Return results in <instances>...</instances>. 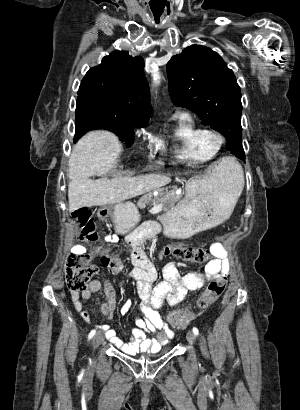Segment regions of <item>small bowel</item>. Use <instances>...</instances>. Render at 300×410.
I'll return each instance as SVG.
<instances>
[{
    "instance_id": "1",
    "label": "small bowel",
    "mask_w": 300,
    "mask_h": 410,
    "mask_svg": "<svg viewBox=\"0 0 300 410\" xmlns=\"http://www.w3.org/2000/svg\"><path fill=\"white\" fill-rule=\"evenodd\" d=\"M145 239L141 232H134L127 238L130 250V259L134 265L129 276L135 281L139 297L138 314L134 318L135 327L131 330V341H121L116 332L109 325L99 326L106 339L125 354L133 355L139 351L155 352L173 338L172 328L165 322L160 309L165 303L174 306L185 298L188 292L203 288L205 282L213 279L226 280L230 273V262L226 250L219 243L210 245L214 259L209 261L203 272H188L181 274L173 263H168L163 268V280L157 282V269L147 254L141 249L140 243ZM75 254L88 252L86 246L77 244L73 248ZM92 254L100 255L105 252L104 247L90 250ZM103 288L106 301L101 303L103 314L111 318L116 310V293L107 279H94L88 287L79 292H71V299L75 310L85 322L90 321V315L84 309L81 299L89 300ZM133 305L127 299L120 307L119 312L126 314Z\"/></svg>"
}]
</instances>
